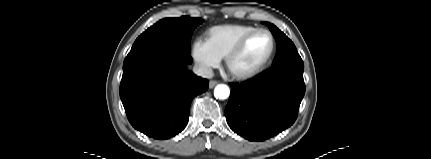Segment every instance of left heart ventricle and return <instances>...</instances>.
Here are the masks:
<instances>
[{
    "label": "left heart ventricle",
    "mask_w": 431,
    "mask_h": 159,
    "mask_svg": "<svg viewBox=\"0 0 431 159\" xmlns=\"http://www.w3.org/2000/svg\"><path fill=\"white\" fill-rule=\"evenodd\" d=\"M272 49L271 38L260 33L251 38L242 53L233 61L231 70L235 73L250 71L261 65Z\"/></svg>",
    "instance_id": "b2bd125f"
}]
</instances>
